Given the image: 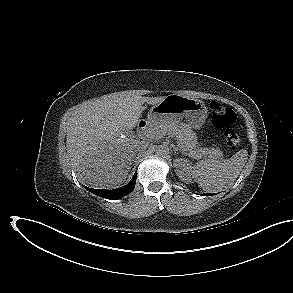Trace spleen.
Here are the masks:
<instances>
[{
	"mask_svg": "<svg viewBox=\"0 0 293 293\" xmlns=\"http://www.w3.org/2000/svg\"><path fill=\"white\" fill-rule=\"evenodd\" d=\"M247 158V150L242 149L229 159L202 160L193 167L192 175L204 191L218 192L234 183Z\"/></svg>",
	"mask_w": 293,
	"mask_h": 293,
	"instance_id": "spleen-1",
	"label": "spleen"
}]
</instances>
